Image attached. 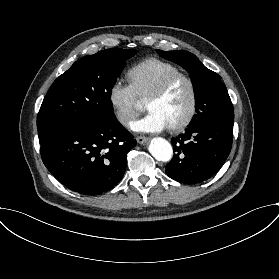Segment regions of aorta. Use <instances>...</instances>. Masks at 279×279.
Masks as SVG:
<instances>
[{"label":"aorta","mask_w":279,"mask_h":279,"mask_svg":"<svg viewBox=\"0 0 279 279\" xmlns=\"http://www.w3.org/2000/svg\"><path fill=\"white\" fill-rule=\"evenodd\" d=\"M148 149L151 155L158 161L168 162L173 156L171 144L160 137L153 138Z\"/></svg>","instance_id":"762f6f07"}]
</instances>
